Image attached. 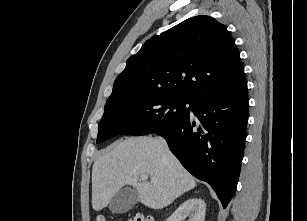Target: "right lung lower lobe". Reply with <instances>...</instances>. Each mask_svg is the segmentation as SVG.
I'll return each instance as SVG.
<instances>
[{
  "label": "right lung lower lobe",
  "instance_id": "right-lung-lower-lobe-1",
  "mask_svg": "<svg viewBox=\"0 0 307 221\" xmlns=\"http://www.w3.org/2000/svg\"><path fill=\"white\" fill-rule=\"evenodd\" d=\"M177 124L155 132L195 177L211 185L224 208L237 186L248 121V89L198 99Z\"/></svg>",
  "mask_w": 307,
  "mask_h": 221
}]
</instances>
